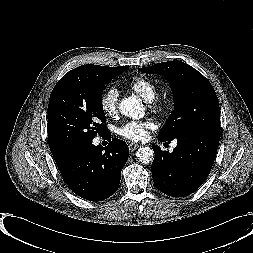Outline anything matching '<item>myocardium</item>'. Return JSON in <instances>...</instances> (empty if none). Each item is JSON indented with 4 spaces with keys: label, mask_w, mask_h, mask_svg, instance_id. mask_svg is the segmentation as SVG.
Instances as JSON below:
<instances>
[{
    "label": "myocardium",
    "mask_w": 253,
    "mask_h": 253,
    "mask_svg": "<svg viewBox=\"0 0 253 253\" xmlns=\"http://www.w3.org/2000/svg\"><path fill=\"white\" fill-rule=\"evenodd\" d=\"M149 108L155 113H161L165 109V102L162 99L156 97L148 103Z\"/></svg>",
    "instance_id": "obj_1"
}]
</instances>
